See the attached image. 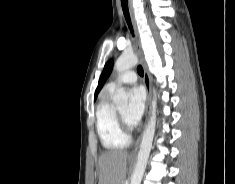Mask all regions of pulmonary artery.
Segmentation results:
<instances>
[{"mask_svg": "<svg viewBox=\"0 0 235 184\" xmlns=\"http://www.w3.org/2000/svg\"><path fill=\"white\" fill-rule=\"evenodd\" d=\"M137 78H138L137 74L133 70L125 71L107 84V90L112 91L115 89L117 85L121 84L125 85L134 84L136 83Z\"/></svg>", "mask_w": 235, "mask_h": 184, "instance_id": "1", "label": "pulmonary artery"}]
</instances>
